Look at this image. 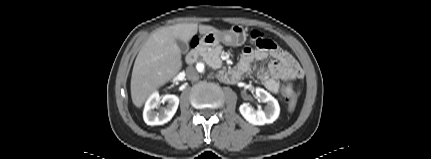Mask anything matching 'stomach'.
I'll use <instances>...</instances> for the list:
<instances>
[{"instance_id":"1","label":"stomach","mask_w":431,"mask_h":159,"mask_svg":"<svg viewBox=\"0 0 431 159\" xmlns=\"http://www.w3.org/2000/svg\"><path fill=\"white\" fill-rule=\"evenodd\" d=\"M202 41L207 46L223 43L227 46H241L246 41V32L240 25H233L230 30H219L203 36Z\"/></svg>"}]
</instances>
